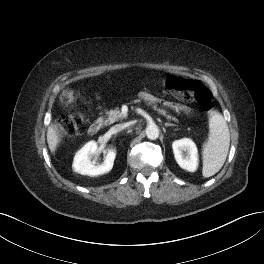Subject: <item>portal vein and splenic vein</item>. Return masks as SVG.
Returning a JSON list of instances; mask_svg holds the SVG:
<instances>
[{
  "label": "portal vein and splenic vein",
  "mask_w": 264,
  "mask_h": 264,
  "mask_svg": "<svg viewBox=\"0 0 264 264\" xmlns=\"http://www.w3.org/2000/svg\"><path fill=\"white\" fill-rule=\"evenodd\" d=\"M122 113H123L124 115H126V112H125V111H123Z\"/></svg>",
  "instance_id": "1"
}]
</instances>
